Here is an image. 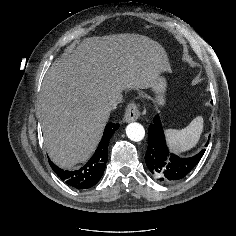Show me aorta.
<instances>
[{"mask_svg":"<svg viewBox=\"0 0 236 236\" xmlns=\"http://www.w3.org/2000/svg\"><path fill=\"white\" fill-rule=\"evenodd\" d=\"M126 135L130 140L139 142L145 136L144 127L137 122L130 123L126 127Z\"/></svg>","mask_w":236,"mask_h":236,"instance_id":"1","label":"aorta"}]
</instances>
